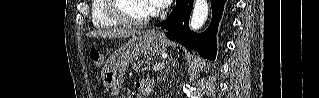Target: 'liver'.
Instances as JSON below:
<instances>
[{"mask_svg": "<svg viewBox=\"0 0 319 98\" xmlns=\"http://www.w3.org/2000/svg\"><path fill=\"white\" fill-rule=\"evenodd\" d=\"M141 31L137 30H129V29H108V30H98L88 34L90 37L97 38H126L129 36H133L135 34H141Z\"/></svg>", "mask_w": 319, "mask_h": 98, "instance_id": "liver-1", "label": "liver"}]
</instances>
